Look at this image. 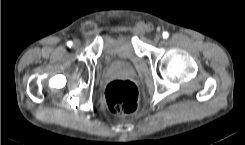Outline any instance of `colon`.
<instances>
[{
  "instance_id": "obj_1",
  "label": "colon",
  "mask_w": 245,
  "mask_h": 145,
  "mask_svg": "<svg viewBox=\"0 0 245 145\" xmlns=\"http://www.w3.org/2000/svg\"><path fill=\"white\" fill-rule=\"evenodd\" d=\"M140 29L148 30L149 23L138 21ZM107 106L118 115H125L135 111L138 107V91L130 80H114L108 84L105 91Z\"/></svg>"
}]
</instances>
